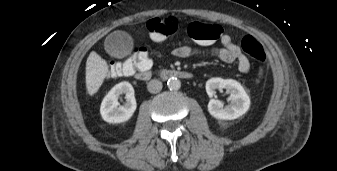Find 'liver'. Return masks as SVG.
I'll return each mask as SVG.
<instances>
[{"instance_id":"1","label":"liver","mask_w":337,"mask_h":171,"mask_svg":"<svg viewBox=\"0 0 337 171\" xmlns=\"http://www.w3.org/2000/svg\"><path fill=\"white\" fill-rule=\"evenodd\" d=\"M108 73V64L95 51L86 62V88L89 95H94L104 82Z\"/></svg>"}]
</instances>
